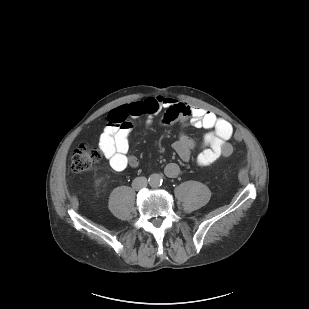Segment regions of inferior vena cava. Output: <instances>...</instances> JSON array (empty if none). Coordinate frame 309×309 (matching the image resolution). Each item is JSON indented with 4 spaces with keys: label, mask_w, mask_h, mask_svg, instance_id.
<instances>
[{
    "label": "inferior vena cava",
    "mask_w": 309,
    "mask_h": 309,
    "mask_svg": "<svg viewBox=\"0 0 309 309\" xmlns=\"http://www.w3.org/2000/svg\"><path fill=\"white\" fill-rule=\"evenodd\" d=\"M147 179L146 177H137L133 180L132 182V187L135 189V190H139L143 187H146L147 186Z\"/></svg>",
    "instance_id": "inferior-vena-cava-1"
}]
</instances>
